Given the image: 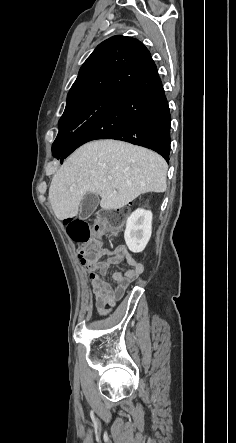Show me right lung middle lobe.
Masks as SVG:
<instances>
[{
  "label": "right lung middle lobe",
  "mask_w": 236,
  "mask_h": 443,
  "mask_svg": "<svg viewBox=\"0 0 236 443\" xmlns=\"http://www.w3.org/2000/svg\"><path fill=\"white\" fill-rule=\"evenodd\" d=\"M112 95L98 94L68 108L59 120V133L52 150H65L77 129L86 122Z\"/></svg>",
  "instance_id": "obj_1"
}]
</instances>
